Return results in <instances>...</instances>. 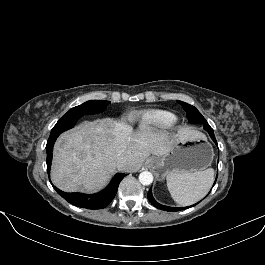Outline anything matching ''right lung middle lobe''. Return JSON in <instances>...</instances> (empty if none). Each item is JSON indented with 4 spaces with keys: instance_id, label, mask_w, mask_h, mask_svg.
<instances>
[{
    "instance_id": "dd1d6c3e",
    "label": "right lung middle lobe",
    "mask_w": 265,
    "mask_h": 265,
    "mask_svg": "<svg viewBox=\"0 0 265 265\" xmlns=\"http://www.w3.org/2000/svg\"><path fill=\"white\" fill-rule=\"evenodd\" d=\"M110 104V101L90 100L79 106L70 109L57 123H64L70 118H80L87 114H97L103 112Z\"/></svg>"
}]
</instances>
